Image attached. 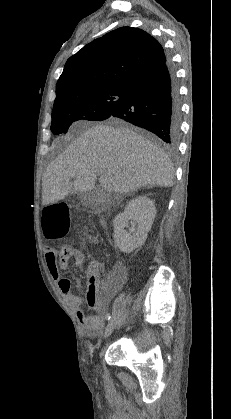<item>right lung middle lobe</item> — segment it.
<instances>
[{"label": "right lung middle lobe", "mask_w": 231, "mask_h": 419, "mask_svg": "<svg viewBox=\"0 0 231 419\" xmlns=\"http://www.w3.org/2000/svg\"><path fill=\"white\" fill-rule=\"evenodd\" d=\"M129 89L107 87L82 92L53 105L51 131L58 135L67 132L77 120L107 119L125 100Z\"/></svg>", "instance_id": "dd1d6c3e"}]
</instances>
